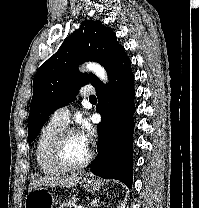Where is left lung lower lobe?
Returning <instances> with one entry per match:
<instances>
[{
    "mask_svg": "<svg viewBox=\"0 0 199 208\" xmlns=\"http://www.w3.org/2000/svg\"><path fill=\"white\" fill-rule=\"evenodd\" d=\"M108 76L107 85L101 82L95 87L96 111L102 120L97 125L99 152L89 168L102 178L118 179L131 188L135 90L129 57L122 59Z\"/></svg>",
    "mask_w": 199,
    "mask_h": 208,
    "instance_id": "1",
    "label": "left lung lower lobe"
}]
</instances>
